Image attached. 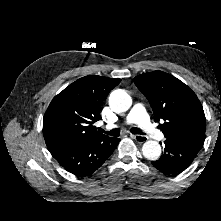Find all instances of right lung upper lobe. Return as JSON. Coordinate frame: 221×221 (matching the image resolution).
Returning <instances> with one entry per match:
<instances>
[{
	"mask_svg": "<svg viewBox=\"0 0 221 221\" xmlns=\"http://www.w3.org/2000/svg\"><path fill=\"white\" fill-rule=\"evenodd\" d=\"M120 79L89 75L66 87L51 101L43 121L49 151L90 143L108 136L93 125L100 120V107Z\"/></svg>",
	"mask_w": 221,
	"mask_h": 221,
	"instance_id": "1",
	"label": "right lung upper lobe"
}]
</instances>
